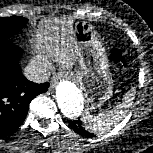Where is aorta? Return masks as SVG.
<instances>
[{"label": "aorta", "mask_w": 153, "mask_h": 153, "mask_svg": "<svg viewBox=\"0 0 153 153\" xmlns=\"http://www.w3.org/2000/svg\"><path fill=\"white\" fill-rule=\"evenodd\" d=\"M56 100L58 107L67 118L78 117L84 106L83 96L80 90L69 81H62L56 88Z\"/></svg>", "instance_id": "obj_1"}]
</instances>
